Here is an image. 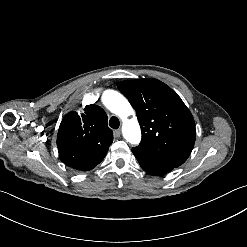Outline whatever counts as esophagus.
Wrapping results in <instances>:
<instances>
[{
    "instance_id": "obj_1",
    "label": "esophagus",
    "mask_w": 247,
    "mask_h": 247,
    "mask_svg": "<svg viewBox=\"0 0 247 247\" xmlns=\"http://www.w3.org/2000/svg\"><path fill=\"white\" fill-rule=\"evenodd\" d=\"M113 134H114V137L117 139V138H119L121 136V131L120 130H115L113 132Z\"/></svg>"
}]
</instances>
